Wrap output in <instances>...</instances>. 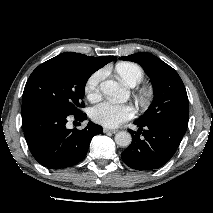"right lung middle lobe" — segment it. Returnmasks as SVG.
Instances as JSON below:
<instances>
[{
    "mask_svg": "<svg viewBox=\"0 0 213 213\" xmlns=\"http://www.w3.org/2000/svg\"><path fill=\"white\" fill-rule=\"evenodd\" d=\"M95 70L88 63L65 53L40 64L30 75L22 101L37 99L68 115L81 114L84 90Z\"/></svg>",
    "mask_w": 213,
    "mask_h": 213,
    "instance_id": "right-lung-middle-lobe-1",
    "label": "right lung middle lobe"
}]
</instances>
